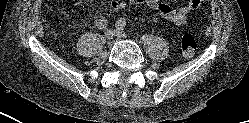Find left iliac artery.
<instances>
[{
	"label": "left iliac artery",
	"instance_id": "left-iliac-artery-1",
	"mask_svg": "<svg viewBox=\"0 0 249 123\" xmlns=\"http://www.w3.org/2000/svg\"><path fill=\"white\" fill-rule=\"evenodd\" d=\"M116 28L119 30H124L126 26V20L124 18H120L116 22Z\"/></svg>",
	"mask_w": 249,
	"mask_h": 123
}]
</instances>
